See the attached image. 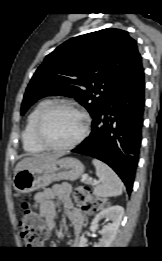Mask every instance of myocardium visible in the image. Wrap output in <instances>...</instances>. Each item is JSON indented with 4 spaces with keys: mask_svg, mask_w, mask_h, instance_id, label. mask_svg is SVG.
<instances>
[{
    "mask_svg": "<svg viewBox=\"0 0 162 261\" xmlns=\"http://www.w3.org/2000/svg\"><path fill=\"white\" fill-rule=\"evenodd\" d=\"M58 109H69L76 112L82 118V130L76 139L72 142L64 144V145H55L50 143L44 134V124L48 118V116ZM90 129V118L88 114L77 105L67 102V101H59L53 102L49 106H47L39 115L36 126H35V137L40 146H42L45 150L50 151H66L70 150L76 146H78L83 140L87 137Z\"/></svg>",
    "mask_w": 162,
    "mask_h": 261,
    "instance_id": "f54148a6",
    "label": "myocardium"
}]
</instances>
